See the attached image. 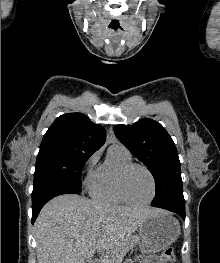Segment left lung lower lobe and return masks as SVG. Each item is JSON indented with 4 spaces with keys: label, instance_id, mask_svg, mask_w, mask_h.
I'll return each mask as SVG.
<instances>
[{
    "label": "left lung lower lobe",
    "instance_id": "0a47b994",
    "mask_svg": "<svg viewBox=\"0 0 220 263\" xmlns=\"http://www.w3.org/2000/svg\"><path fill=\"white\" fill-rule=\"evenodd\" d=\"M167 210L177 213L178 215L181 216L183 220H185V210H179V209H167Z\"/></svg>",
    "mask_w": 220,
    "mask_h": 263
}]
</instances>
